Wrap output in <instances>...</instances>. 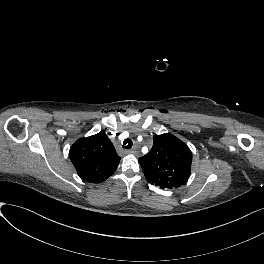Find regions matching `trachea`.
I'll use <instances>...</instances> for the list:
<instances>
[{"instance_id": "obj_1", "label": "trachea", "mask_w": 264, "mask_h": 264, "mask_svg": "<svg viewBox=\"0 0 264 264\" xmlns=\"http://www.w3.org/2000/svg\"><path fill=\"white\" fill-rule=\"evenodd\" d=\"M132 145H133V143H132V141L130 139H125L123 141L122 147L126 148V149H130L132 147Z\"/></svg>"}]
</instances>
